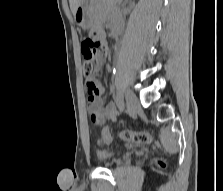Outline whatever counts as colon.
<instances>
[{
	"label": "colon",
	"mask_w": 223,
	"mask_h": 191,
	"mask_svg": "<svg viewBox=\"0 0 223 191\" xmlns=\"http://www.w3.org/2000/svg\"><path fill=\"white\" fill-rule=\"evenodd\" d=\"M99 49H100V42L90 37L86 38L81 44V53L83 56L82 70L85 77H87L88 80L92 79L91 77L94 72L95 62ZM88 85L91 89L95 88V84L92 81H90ZM119 136L123 140L134 144H147L150 143L153 138L151 132L135 131V130H122L119 132ZM111 140H112V134L110 129L104 128L102 131L100 143L107 144L110 143ZM158 164L161 167L165 166V164L160 160L158 161Z\"/></svg>",
	"instance_id": "colon-1"
}]
</instances>
